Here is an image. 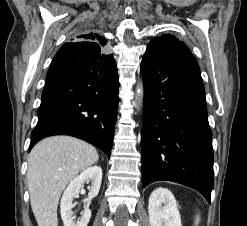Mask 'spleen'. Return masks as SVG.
Returning a JSON list of instances; mask_svg holds the SVG:
<instances>
[{"instance_id":"spleen-1","label":"spleen","mask_w":247,"mask_h":226,"mask_svg":"<svg viewBox=\"0 0 247 226\" xmlns=\"http://www.w3.org/2000/svg\"><path fill=\"white\" fill-rule=\"evenodd\" d=\"M199 221H200V217L199 216H196V219H195L196 225L199 223Z\"/></svg>"}]
</instances>
